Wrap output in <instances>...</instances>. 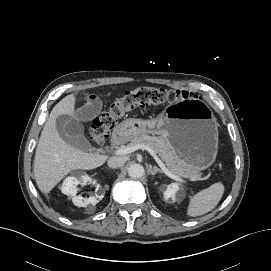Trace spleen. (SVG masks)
Returning <instances> with one entry per match:
<instances>
[{
    "label": "spleen",
    "instance_id": "spleen-1",
    "mask_svg": "<svg viewBox=\"0 0 271 271\" xmlns=\"http://www.w3.org/2000/svg\"><path fill=\"white\" fill-rule=\"evenodd\" d=\"M224 193V185L221 182L212 184L190 198L187 215L197 217L213 210L220 202Z\"/></svg>",
    "mask_w": 271,
    "mask_h": 271
}]
</instances>
